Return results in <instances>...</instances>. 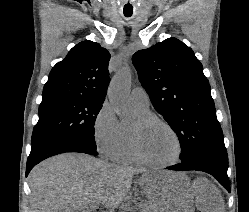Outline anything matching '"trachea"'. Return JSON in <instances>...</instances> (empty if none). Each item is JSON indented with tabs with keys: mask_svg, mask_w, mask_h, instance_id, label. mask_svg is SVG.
<instances>
[{
	"mask_svg": "<svg viewBox=\"0 0 249 212\" xmlns=\"http://www.w3.org/2000/svg\"><path fill=\"white\" fill-rule=\"evenodd\" d=\"M125 17H131L132 13H124Z\"/></svg>",
	"mask_w": 249,
	"mask_h": 212,
	"instance_id": "trachea-1",
	"label": "trachea"
}]
</instances>
